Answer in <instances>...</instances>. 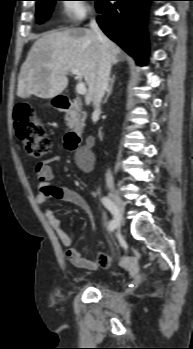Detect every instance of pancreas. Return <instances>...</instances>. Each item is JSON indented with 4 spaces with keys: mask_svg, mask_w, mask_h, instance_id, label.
Instances as JSON below:
<instances>
[{
    "mask_svg": "<svg viewBox=\"0 0 193 349\" xmlns=\"http://www.w3.org/2000/svg\"><path fill=\"white\" fill-rule=\"evenodd\" d=\"M77 105H79V103H77ZM80 112H81V109L79 108V109H78V118H79L80 121H81V122H80V125L83 126V123H82V122H83L84 118H81Z\"/></svg>",
    "mask_w": 193,
    "mask_h": 349,
    "instance_id": "1",
    "label": "pancreas"
}]
</instances>
